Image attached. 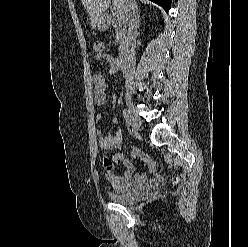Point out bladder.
Segmentation results:
<instances>
[{"instance_id": "1", "label": "bladder", "mask_w": 248, "mask_h": 247, "mask_svg": "<svg viewBox=\"0 0 248 247\" xmlns=\"http://www.w3.org/2000/svg\"><path fill=\"white\" fill-rule=\"evenodd\" d=\"M151 190L152 186L150 184H142L131 192L113 191L109 194V196L116 203L131 204L147 196Z\"/></svg>"}]
</instances>
